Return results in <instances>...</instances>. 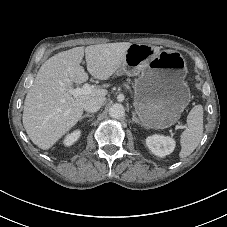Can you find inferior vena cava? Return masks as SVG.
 Masks as SVG:
<instances>
[{
    "mask_svg": "<svg viewBox=\"0 0 227 227\" xmlns=\"http://www.w3.org/2000/svg\"><path fill=\"white\" fill-rule=\"evenodd\" d=\"M105 101V97H94L87 100L84 104V110L90 113L97 112Z\"/></svg>",
    "mask_w": 227,
    "mask_h": 227,
    "instance_id": "1",
    "label": "inferior vena cava"
}]
</instances>
